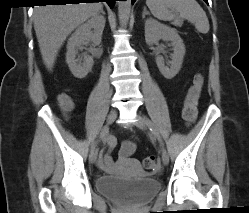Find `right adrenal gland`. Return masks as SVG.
I'll return each instance as SVG.
<instances>
[{
	"label": "right adrenal gland",
	"instance_id": "1",
	"mask_svg": "<svg viewBox=\"0 0 249 213\" xmlns=\"http://www.w3.org/2000/svg\"><path fill=\"white\" fill-rule=\"evenodd\" d=\"M100 13H102L103 15H105V12L103 11V8L100 10Z\"/></svg>",
	"mask_w": 249,
	"mask_h": 213
}]
</instances>
